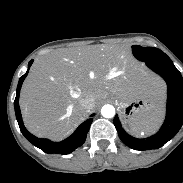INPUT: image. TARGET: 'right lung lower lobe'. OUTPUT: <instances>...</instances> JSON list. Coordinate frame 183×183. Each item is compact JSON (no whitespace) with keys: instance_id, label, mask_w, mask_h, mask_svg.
I'll return each instance as SVG.
<instances>
[{"instance_id":"obj_1","label":"right lung lower lobe","mask_w":183,"mask_h":183,"mask_svg":"<svg viewBox=\"0 0 183 183\" xmlns=\"http://www.w3.org/2000/svg\"><path fill=\"white\" fill-rule=\"evenodd\" d=\"M33 60H31L28 64V68L31 66ZM28 71L19 79L18 86H17V93H16V98L14 101V107H15V114H16V119L19 124V128L22 132V134L25 136V138L31 142L34 146L38 147L39 149L43 150L47 154H62L66 155L74 151L76 148L80 147L86 139V135L89 131L90 125L93 121L92 118L87 119L84 121L76 130L75 132L69 136L67 139L60 141V142H53L48 139H41L38 138L31 133L28 132V130L25 128L23 121H22V116L20 112V107H19V94H20V89L22 86V83L27 76ZM94 116V114L91 115V117Z\"/></svg>"}]
</instances>
